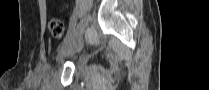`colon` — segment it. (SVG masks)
<instances>
[{
    "label": "colon",
    "mask_w": 209,
    "mask_h": 90,
    "mask_svg": "<svg viewBox=\"0 0 209 90\" xmlns=\"http://www.w3.org/2000/svg\"><path fill=\"white\" fill-rule=\"evenodd\" d=\"M49 30L53 38L60 40L65 35V25L58 19L54 18L49 22Z\"/></svg>",
    "instance_id": "1"
}]
</instances>
